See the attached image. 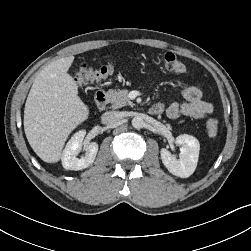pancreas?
Returning a JSON list of instances; mask_svg holds the SVG:
<instances>
[{"label":"pancreas","mask_w":251,"mask_h":251,"mask_svg":"<svg viewBox=\"0 0 251 251\" xmlns=\"http://www.w3.org/2000/svg\"><path fill=\"white\" fill-rule=\"evenodd\" d=\"M107 94L113 109L121 108L126 105L133 106V103L128 98V90L126 89L109 90Z\"/></svg>","instance_id":"obj_1"}]
</instances>
